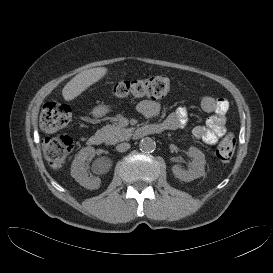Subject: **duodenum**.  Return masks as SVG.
Wrapping results in <instances>:
<instances>
[{
	"mask_svg": "<svg viewBox=\"0 0 273 273\" xmlns=\"http://www.w3.org/2000/svg\"><path fill=\"white\" fill-rule=\"evenodd\" d=\"M168 130L163 123H150L138 126L135 129V135L138 138L144 137L147 134H160ZM105 142V135L103 133H95L88 139V144L91 146H99Z\"/></svg>",
	"mask_w": 273,
	"mask_h": 273,
	"instance_id": "duodenum-1",
	"label": "duodenum"
}]
</instances>
